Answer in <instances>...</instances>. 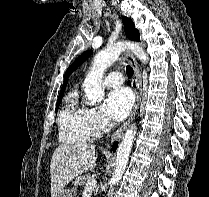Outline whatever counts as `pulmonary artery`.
I'll return each mask as SVG.
<instances>
[{"instance_id":"e3ab8cb5","label":"pulmonary artery","mask_w":209,"mask_h":197,"mask_svg":"<svg viewBox=\"0 0 209 197\" xmlns=\"http://www.w3.org/2000/svg\"><path fill=\"white\" fill-rule=\"evenodd\" d=\"M122 83L123 77L119 71L110 72L104 79V84L109 87L119 86Z\"/></svg>"}]
</instances>
